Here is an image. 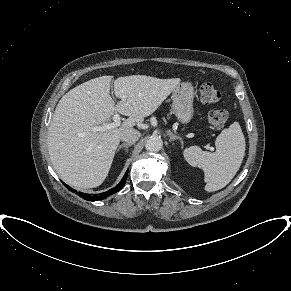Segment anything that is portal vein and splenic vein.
I'll use <instances>...</instances> for the list:
<instances>
[{"label": "portal vein and splenic vein", "instance_id": "18ae733b", "mask_svg": "<svg viewBox=\"0 0 291 291\" xmlns=\"http://www.w3.org/2000/svg\"><path fill=\"white\" fill-rule=\"evenodd\" d=\"M120 120H121L120 115L116 113L113 116V121H114L113 123H105V124H103L101 126H95L92 129L94 131H99V132H103L105 130L113 129V128H116V127H118L120 125Z\"/></svg>", "mask_w": 291, "mask_h": 291}]
</instances>
